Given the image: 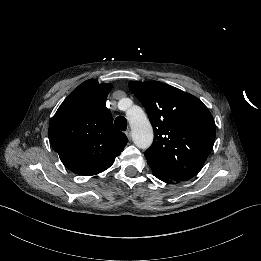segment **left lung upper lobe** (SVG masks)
Segmentation results:
<instances>
[{
    "mask_svg": "<svg viewBox=\"0 0 261 261\" xmlns=\"http://www.w3.org/2000/svg\"><path fill=\"white\" fill-rule=\"evenodd\" d=\"M130 90L145 107L154 128L145 152L152 171L185 181L201 170L216 135L214 119L195 96L158 81H130Z\"/></svg>",
    "mask_w": 261,
    "mask_h": 261,
    "instance_id": "obj_1",
    "label": "left lung upper lobe"
}]
</instances>
